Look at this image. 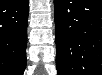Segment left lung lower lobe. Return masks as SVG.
Here are the masks:
<instances>
[{
    "label": "left lung lower lobe",
    "instance_id": "left-lung-lower-lobe-1",
    "mask_svg": "<svg viewBox=\"0 0 102 75\" xmlns=\"http://www.w3.org/2000/svg\"><path fill=\"white\" fill-rule=\"evenodd\" d=\"M55 4L57 75H102V1Z\"/></svg>",
    "mask_w": 102,
    "mask_h": 75
}]
</instances>
